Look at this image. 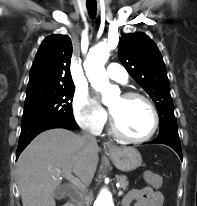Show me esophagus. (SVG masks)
<instances>
[{"instance_id": "obj_1", "label": "esophagus", "mask_w": 197, "mask_h": 206, "mask_svg": "<svg viewBox=\"0 0 197 206\" xmlns=\"http://www.w3.org/2000/svg\"><path fill=\"white\" fill-rule=\"evenodd\" d=\"M103 147L105 151L110 152V153L116 150V146L109 142H105L103 144Z\"/></svg>"}]
</instances>
